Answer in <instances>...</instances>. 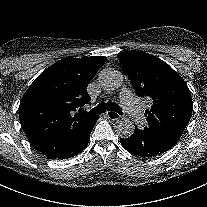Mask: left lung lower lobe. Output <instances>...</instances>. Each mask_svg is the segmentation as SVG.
I'll return each instance as SVG.
<instances>
[{"mask_svg":"<svg viewBox=\"0 0 207 207\" xmlns=\"http://www.w3.org/2000/svg\"><path fill=\"white\" fill-rule=\"evenodd\" d=\"M120 142L130 153L148 158L160 155L171 149L150 133L137 127H135L134 133L129 138L120 139Z\"/></svg>","mask_w":207,"mask_h":207,"instance_id":"obj_1","label":"left lung lower lobe"}]
</instances>
